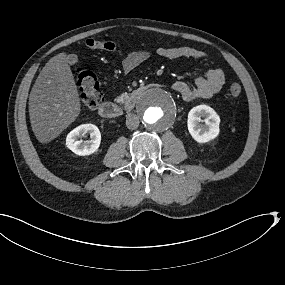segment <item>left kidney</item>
I'll return each instance as SVG.
<instances>
[{
  "instance_id": "left-kidney-1",
  "label": "left kidney",
  "mask_w": 285,
  "mask_h": 285,
  "mask_svg": "<svg viewBox=\"0 0 285 285\" xmlns=\"http://www.w3.org/2000/svg\"><path fill=\"white\" fill-rule=\"evenodd\" d=\"M204 118L202 120L201 118ZM205 122V124H201ZM220 117L213 108L199 105L192 108L188 114V130L194 140L206 143L219 134Z\"/></svg>"
}]
</instances>
